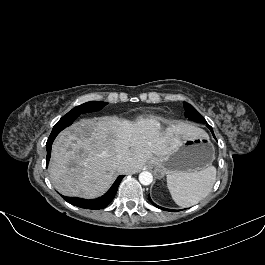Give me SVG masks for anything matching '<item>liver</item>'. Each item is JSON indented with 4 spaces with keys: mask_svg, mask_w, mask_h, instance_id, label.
Here are the masks:
<instances>
[{
    "mask_svg": "<svg viewBox=\"0 0 265 265\" xmlns=\"http://www.w3.org/2000/svg\"><path fill=\"white\" fill-rule=\"evenodd\" d=\"M203 133L183 122L162 129L153 117L135 122L111 116L82 119L54 141L49 178L64 195L93 199L110 188L116 172L136 173L153 155L166 156L180 139ZM118 154L124 156L120 167Z\"/></svg>",
    "mask_w": 265,
    "mask_h": 265,
    "instance_id": "6515ba94",
    "label": "liver"
}]
</instances>
